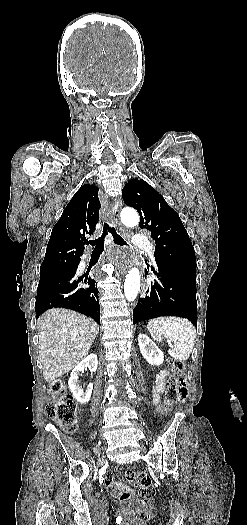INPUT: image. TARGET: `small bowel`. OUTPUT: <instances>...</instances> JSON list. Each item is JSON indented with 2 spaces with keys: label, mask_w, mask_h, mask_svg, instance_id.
Instances as JSON below:
<instances>
[{
  "label": "small bowel",
  "mask_w": 247,
  "mask_h": 525,
  "mask_svg": "<svg viewBox=\"0 0 247 525\" xmlns=\"http://www.w3.org/2000/svg\"><path fill=\"white\" fill-rule=\"evenodd\" d=\"M168 377H169V371L167 370H163L157 375L156 384H155L154 393H153V399L155 402H158L160 400V396L165 390ZM105 480L109 482V485L113 492H116L118 490V487L120 486L121 495L132 493L131 488L127 485H120V481L118 479H114V475L112 473H107L105 475Z\"/></svg>",
  "instance_id": "c3829d8e"
}]
</instances>
